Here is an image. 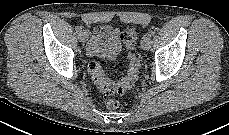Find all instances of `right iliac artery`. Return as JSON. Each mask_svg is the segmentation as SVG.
<instances>
[{
  "mask_svg": "<svg viewBox=\"0 0 229 135\" xmlns=\"http://www.w3.org/2000/svg\"><path fill=\"white\" fill-rule=\"evenodd\" d=\"M81 30H82V27H81V26H77V27H76V31H77V32H81Z\"/></svg>",
  "mask_w": 229,
  "mask_h": 135,
  "instance_id": "obj_1",
  "label": "right iliac artery"
}]
</instances>
